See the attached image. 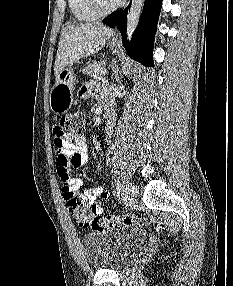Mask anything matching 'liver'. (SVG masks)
Returning <instances> with one entry per match:
<instances>
[{"label": "liver", "mask_w": 233, "mask_h": 286, "mask_svg": "<svg viewBox=\"0 0 233 286\" xmlns=\"http://www.w3.org/2000/svg\"><path fill=\"white\" fill-rule=\"evenodd\" d=\"M113 33V29L102 23H85L65 27L57 50L55 76L75 61L101 50Z\"/></svg>", "instance_id": "liver-1"}]
</instances>
